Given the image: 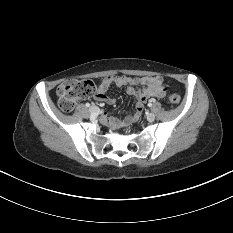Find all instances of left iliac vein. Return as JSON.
Wrapping results in <instances>:
<instances>
[{
    "label": "left iliac vein",
    "instance_id": "4c4485c4",
    "mask_svg": "<svg viewBox=\"0 0 233 233\" xmlns=\"http://www.w3.org/2000/svg\"><path fill=\"white\" fill-rule=\"evenodd\" d=\"M147 120L149 122H152L155 120V114L154 113H148L147 116H146Z\"/></svg>",
    "mask_w": 233,
    "mask_h": 233
}]
</instances>
